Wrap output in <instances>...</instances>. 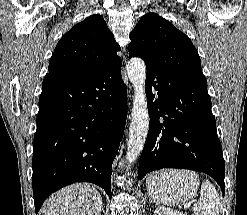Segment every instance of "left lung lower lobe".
<instances>
[{"label": "left lung lower lobe", "instance_id": "left-lung-lower-lobe-1", "mask_svg": "<svg viewBox=\"0 0 247 215\" xmlns=\"http://www.w3.org/2000/svg\"><path fill=\"white\" fill-rule=\"evenodd\" d=\"M149 131L138 178L161 168L210 175L225 195V163L207 82L146 65Z\"/></svg>", "mask_w": 247, "mask_h": 215}]
</instances>
